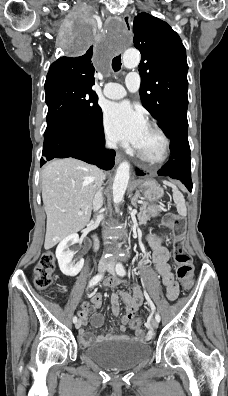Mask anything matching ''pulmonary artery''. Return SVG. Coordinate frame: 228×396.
Here are the masks:
<instances>
[{
  "label": "pulmonary artery",
  "instance_id": "1",
  "mask_svg": "<svg viewBox=\"0 0 228 396\" xmlns=\"http://www.w3.org/2000/svg\"><path fill=\"white\" fill-rule=\"evenodd\" d=\"M126 88L121 84L109 82L104 86L103 94L109 99H121L127 95V91L135 92L140 86V79L137 73H129L125 80Z\"/></svg>",
  "mask_w": 228,
  "mask_h": 396
}]
</instances>
